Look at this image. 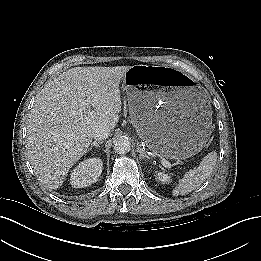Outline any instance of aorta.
<instances>
[{
    "label": "aorta",
    "mask_w": 261,
    "mask_h": 261,
    "mask_svg": "<svg viewBox=\"0 0 261 261\" xmlns=\"http://www.w3.org/2000/svg\"><path fill=\"white\" fill-rule=\"evenodd\" d=\"M114 150L118 154H125L130 151L131 144L127 137H118L114 140Z\"/></svg>",
    "instance_id": "762f6f07"
}]
</instances>
